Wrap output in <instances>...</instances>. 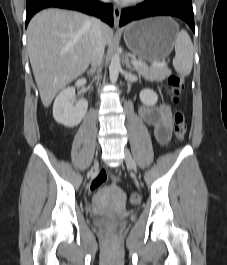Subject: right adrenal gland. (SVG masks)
Returning a JSON list of instances; mask_svg holds the SVG:
<instances>
[{
  "label": "right adrenal gland",
  "instance_id": "right-adrenal-gland-1",
  "mask_svg": "<svg viewBox=\"0 0 227 265\" xmlns=\"http://www.w3.org/2000/svg\"><path fill=\"white\" fill-rule=\"evenodd\" d=\"M94 71H95V69H94V68H91V69H89V70L87 71V73H88V74H93Z\"/></svg>",
  "mask_w": 227,
  "mask_h": 265
}]
</instances>
